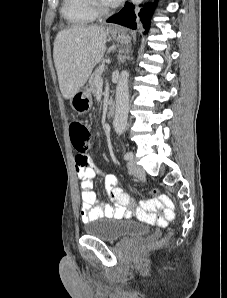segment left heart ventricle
Segmentation results:
<instances>
[{"instance_id": "1", "label": "left heart ventricle", "mask_w": 227, "mask_h": 298, "mask_svg": "<svg viewBox=\"0 0 227 298\" xmlns=\"http://www.w3.org/2000/svg\"><path fill=\"white\" fill-rule=\"evenodd\" d=\"M104 5H106L105 3H104V1L103 0H100Z\"/></svg>"}]
</instances>
